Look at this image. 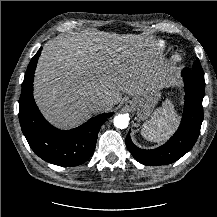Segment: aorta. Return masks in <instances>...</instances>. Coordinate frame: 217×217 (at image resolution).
<instances>
[{"label":"aorta","instance_id":"aorta-1","mask_svg":"<svg viewBox=\"0 0 217 217\" xmlns=\"http://www.w3.org/2000/svg\"><path fill=\"white\" fill-rule=\"evenodd\" d=\"M129 124V117L126 114H119L114 117V126L118 129H125Z\"/></svg>","mask_w":217,"mask_h":217}]
</instances>
